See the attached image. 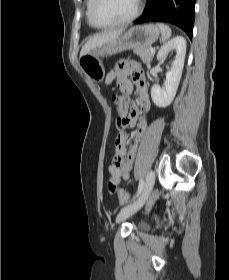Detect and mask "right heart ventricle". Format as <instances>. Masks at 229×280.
I'll return each mask as SVG.
<instances>
[{
    "label": "right heart ventricle",
    "instance_id": "e07e8e85",
    "mask_svg": "<svg viewBox=\"0 0 229 280\" xmlns=\"http://www.w3.org/2000/svg\"><path fill=\"white\" fill-rule=\"evenodd\" d=\"M93 4V0H87V3H86V19H87V22L88 24L93 27L90 23V19H89V13H90V9H91V6Z\"/></svg>",
    "mask_w": 229,
    "mask_h": 280
}]
</instances>
